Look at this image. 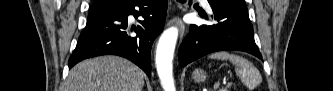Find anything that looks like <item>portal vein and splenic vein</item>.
I'll return each mask as SVG.
<instances>
[{"label": "portal vein and splenic vein", "instance_id": "1", "mask_svg": "<svg viewBox=\"0 0 333 91\" xmlns=\"http://www.w3.org/2000/svg\"><path fill=\"white\" fill-rule=\"evenodd\" d=\"M219 86V82L215 85V87H218ZM227 87L231 86V84H226Z\"/></svg>", "mask_w": 333, "mask_h": 91}]
</instances>
